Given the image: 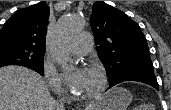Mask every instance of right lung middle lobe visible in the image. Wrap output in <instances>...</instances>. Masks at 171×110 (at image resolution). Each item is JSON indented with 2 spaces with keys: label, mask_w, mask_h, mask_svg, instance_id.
<instances>
[{
  "label": "right lung middle lobe",
  "mask_w": 171,
  "mask_h": 110,
  "mask_svg": "<svg viewBox=\"0 0 171 110\" xmlns=\"http://www.w3.org/2000/svg\"><path fill=\"white\" fill-rule=\"evenodd\" d=\"M44 50H35L15 43H0V67L21 65L44 74Z\"/></svg>",
  "instance_id": "dd1d6c3e"
}]
</instances>
